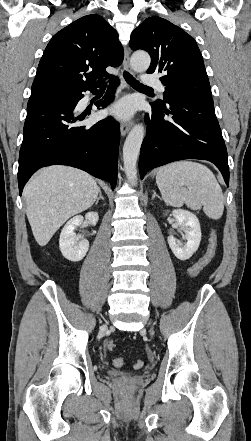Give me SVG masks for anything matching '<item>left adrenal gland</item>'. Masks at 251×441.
Segmentation results:
<instances>
[{
	"instance_id": "a2214340",
	"label": "left adrenal gland",
	"mask_w": 251,
	"mask_h": 441,
	"mask_svg": "<svg viewBox=\"0 0 251 441\" xmlns=\"http://www.w3.org/2000/svg\"><path fill=\"white\" fill-rule=\"evenodd\" d=\"M155 197L160 198V197L156 194L155 190H153V196H152V199H154Z\"/></svg>"
}]
</instances>
